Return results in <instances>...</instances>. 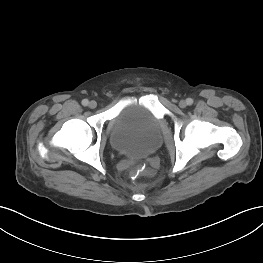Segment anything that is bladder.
<instances>
[{
  "label": "bladder",
  "instance_id": "obj_1",
  "mask_svg": "<svg viewBox=\"0 0 263 263\" xmlns=\"http://www.w3.org/2000/svg\"><path fill=\"white\" fill-rule=\"evenodd\" d=\"M109 140L111 146L125 156L150 155L162 143L160 121L140 103H128L114 118Z\"/></svg>",
  "mask_w": 263,
  "mask_h": 263
}]
</instances>
